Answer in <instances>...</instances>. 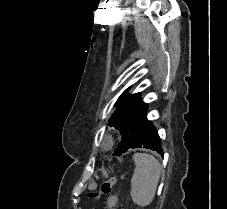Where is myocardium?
<instances>
[{"label": "myocardium", "mask_w": 227, "mask_h": 209, "mask_svg": "<svg viewBox=\"0 0 227 209\" xmlns=\"http://www.w3.org/2000/svg\"><path fill=\"white\" fill-rule=\"evenodd\" d=\"M115 144H116V135L111 131H108L102 134L96 140V146L103 152H108L112 150Z\"/></svg>", "instance_id": "1"}]
</instances>
